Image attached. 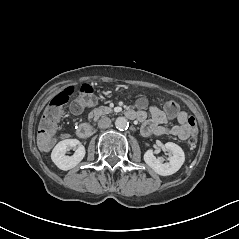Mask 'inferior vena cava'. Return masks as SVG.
<instances>
[{
	"instance_id": "602c4592",
	"label": "inferior vena cava",
	"mask_w": 239,
	"mask_h": 239,
	"mask_svg": "<svg viewBox=\"0 0 239 239\" xmlns=\"http://www.w3.org/2000/svg\"><path fill=\"white\" fill-rule=\"evenodd\" d=\"M111 125V119L108 117L101 118L98 121L99 128H108Z\"/></svg>"
}]
</instances>
